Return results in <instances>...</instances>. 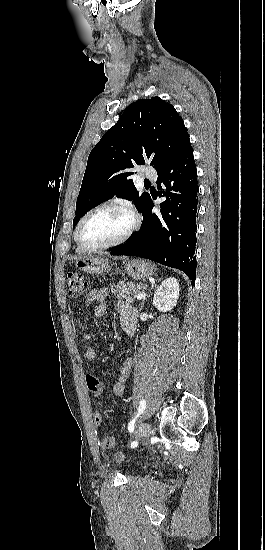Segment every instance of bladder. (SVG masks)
<instances>
[{"instance_id":"obj_1","label":"bladder","mask_w":265,"mask_h":550,"mask_svg":"<svg viewBox=\"0 0 265 550\" xmlns=\"http://www.w3.org/2000/svg\"><path fill=\"white\" fill-rule=\"evenodd\" d=\"M123 458H124V453L122 451H114L111 453V459L114 463H121L123 461ZM134 466L136 468L140 467V463L139 462H134Z\"/></svg>"}]
</instances>
